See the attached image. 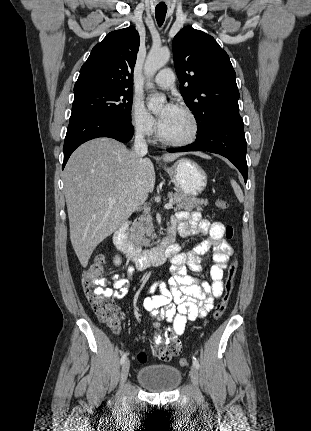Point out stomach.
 Segmentation results:
<instances>
[{
	"instance_id": "1",
	"label": "stomach",
	"mask_w": 311,
	"mask_h": 431,
	"mask_svg": "<svg viewBox=\"0 0 311 431\" xmlns=\"http://www.w3.org/2000/svg\"><path fill=\"white\" fill-rule=\"evenodd\" d=\"M164 170L170 176L171 182L179 194L196 198L204 192L207 186L206 172L197 162L189 160V158H181L171 168H164Z\"/></svg>"
}]
</instances>
